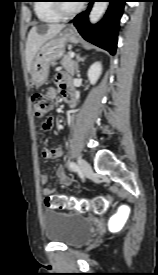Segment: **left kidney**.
Segmentation results:
<instances>
[{
  "label": "left kidney",
  "instance_id": "1",
  "mask_svg": "<svg viewBox=\"0 0 158 275\" xmlns=\"http://www.w3.org/2000/svg\"><path fill=\"white\" fill-rule=\"evenodd\" d=\"M102 73V65L100 62L93 63L87 73L88 79L91 84H95Z\"/></svg>",
  "mask_w": 158,
  "mask_h": 275
}]
</instances>
